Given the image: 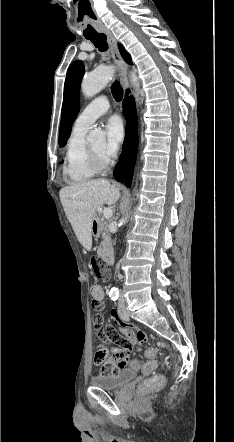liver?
Returning a JSON list of instances; mask_svg holds the SVG:
<instances>
[{
  "label": "liver",
  "mask_w": 234,
  "mask_h": 442,
  "mask_svg": "<svg viewBox=\"0 0 234 442\" xmlns=\"http://www.w3.org/2000/svg\"><path fill=\"white\" fill-rule=\"evenodd\" d=\"M64 212L77 239L88 251L92 248V222L103 204L113 205L120 198L119 189L108 180H92L64 187L59 192Z\"/></svg>",
  "instance_id": "obj_1"
}]
</instances>
